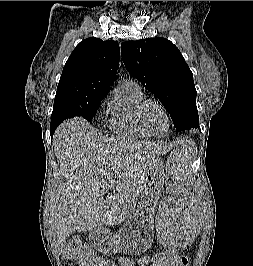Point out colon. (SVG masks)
<instances>
[{"label":"colon","mask_w":253,"mask_h":266,"mask_svg":"<svg viewBox=\"0 0 253 266\" xmlns=\"http://www.w3.org/2000/svg\"><path fill=\"white\" fill-rule=\"evenodd\" d=\"M64 255L76 266H110L98 256L83 240L73 237L67 242ZM189 258L177 252L158 253L143 263V266H188Z\"/></svg>","instance_id":"1"}]
</instances>
